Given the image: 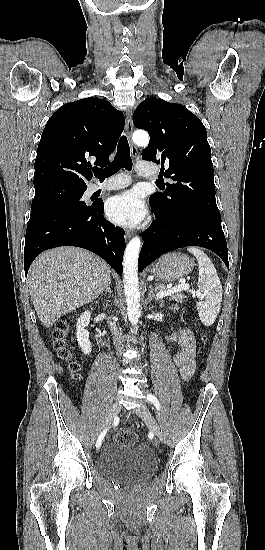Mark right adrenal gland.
I'll return each instance as SVG.
<instances>
[{
  "label": "right adrenal gland",
  "mask_w": 265,
  "mask_h": 550,
  "mask_svg": "<svg viewBox=\"0 0 265 550\" xmlns=\"http://www.w3.org/2000/svg\"><path fill=\"white\" fill-rule=\"evenodd\" d=\"M110 284H111V281L108 283V285L105 287L104 289V295H106L107 293L111 294V288H110Z\"/></svg>",
  "instance_id": "obj_1"
}]
</instances>
